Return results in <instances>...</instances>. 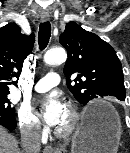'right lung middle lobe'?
Listing matches in <instances>:
<instances>
[{"mask_svg":"<svg viewBox=\"0 0 130 153\" xmlns=\"http://www.w3.org/2000/svg\"><path fill=\"white\" fill-rule=\"evenodd\" d=\"M9 92H0V113H3L9 117H15V108L11 107V103L7 98Z\"/></svg>","mask_w":130,"mask_h":153,"instance_id":"dd1d6c3e","label":"right lung middle lobe"}]
</instances>
